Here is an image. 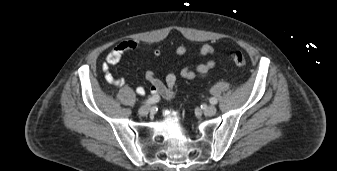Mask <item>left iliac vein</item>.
I'll return each mask as SVG.
<instances>
[{
	"label": "left iliac vein",
	"instance_id": "obj_1",
	"mask_svg": "<svg viewBox=\"0 0 337 171\" xmlns=\"http://www.w3.org/2000/svg\"><path fill=\"white\" fill-rule=\"evenodd\" d=\"M216 108L212 105L210 106H207L203 109V113L206 115V116H214L216 114Z\"/></svg>",
	"mask_w": 337,
	"mask_h": 171
}]
</instances>
